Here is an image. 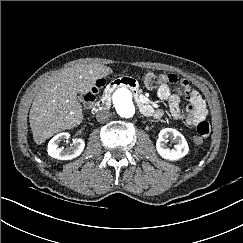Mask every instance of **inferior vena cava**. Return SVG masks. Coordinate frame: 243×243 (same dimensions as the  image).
<instances>
[{
    "mask_svg": "<svg viewBox=\"0 0 243 243\" xmlns=\"http://www.w3.org/2000/svg\"><path fill=\"white\" fill-rule=\"evenodd\" d=\"M109 117H110V112L106 109H102L98 111L96 114V119L99 122H105L109 119Z\"/></svg>",
    "mask_w": 243,
    "mask_h": 243,
    "instance_id": "602c4592",
    "label": "inferior vena cava"
}]
</instances>
